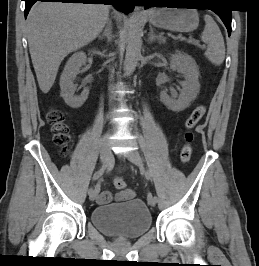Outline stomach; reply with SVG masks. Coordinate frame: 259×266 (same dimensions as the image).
Segmentation results:
<instances>
[{
  "instance_id": "stomach-1",
  "label": "stomach",
  "mask_w": 259,
  "mask_h": 266,
  "mask_svg": "<svg viewBox=\"0 0 259 266\" xmlns=\"http://www.w3.org/2000/svg\"><path fill=\"white\" fill-rule=\"evenodd\" d=\"M150 22L170 31L191 32L199 25V15L194 9L187 8H159L149 14Z\"/></svg>"
}]
</instances>
